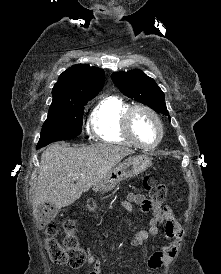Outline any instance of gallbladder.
<instances>
[{
    "mask_svg": "<svg viewBox=\"0 0 221 274\" xmlns=\"http://www.w3.org/2000/svg\"><path fill=\"white\" fill-rule=\"evenodd\" d=\"M47 208V206L44 204L40 207V211H42L43 209ZM59 208H54L52 210H50V213L46 218V220L50 219L51 217H55L57 215V213L59 212ZM40 216L43 217L42 213H40Z\"/></svg>",
    "mask_w": 221,
    "mask_h": 274,
    "instance_id": "bac80fb5",
    "label": "gallbladder"
}]
</instances>
